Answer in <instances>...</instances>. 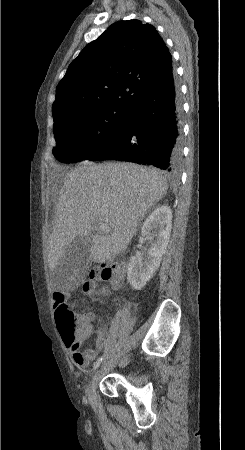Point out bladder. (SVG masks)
<instances>
[{
	"mask_svg": "<svg viewBox=\"0 0 245 450\" xmlns=\"http://www.w3.org/2000/svg\"><path fill=\"white\" fill-rule=\"evenodd\" d=\"M132 369H134V368H132V367H129V368H128V371H129V372H131V371H132ZM129 375H130V377H133V374H129Z\"/></svg>",
	"mask_w": 245,
	"mask_h": 450,
	"instance_id": "bladder-1",
	"label": "bladder"
}]
</instances>
